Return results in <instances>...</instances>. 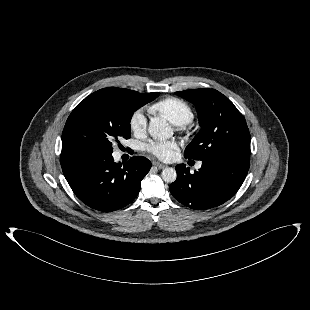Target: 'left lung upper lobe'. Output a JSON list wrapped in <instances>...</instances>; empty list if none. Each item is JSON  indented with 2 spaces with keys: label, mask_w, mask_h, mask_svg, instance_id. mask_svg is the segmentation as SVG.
<instances>
[{
  "label": "left lung upper lobe",
  "mask_w": 310,
  "mask_h": 310,
  "mask_svg": "<svg viewBox=\"0 0 310 310\" xmlns=\"http://www.w3.org/2000/svg\"><path fill=\"white\" fill-rule=\"evenodd\" d=\"M176 94L195 105L201 126L186 147L185 158L201 161L227 155L249 158L251 139L246 121L226 96L208 88Z\"/></svg>",
  "instance_id": "obj_1"
}]
</instances>
